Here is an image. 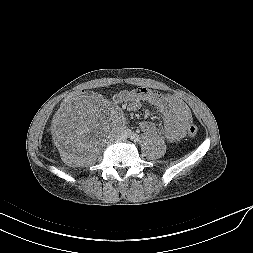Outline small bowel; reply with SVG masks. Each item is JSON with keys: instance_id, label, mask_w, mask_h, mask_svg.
<instances>
[{"instance_id": "1", "label": "small bowel", "mask_w": 253, "mask_h": 253, "mask_svg": "<svg viewBox=\"0 0 253 253\" xmlns=\"http://www.w3.org/2000/svg\"><path fill=\"white\" fill-rule=\"evenodd\" d=\"M114 101L117 104L125 105L130 110H137L143 102L157 108L165 119V125L160 133L170 143L180 141L192 121L191 112L182 100L148 88L122 90L115 94ZM140 128L149 133L158 130L156 124L150 121L141 122Z\"/></svg>"}]
</instances>
